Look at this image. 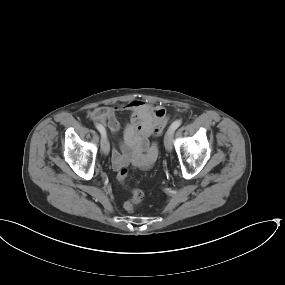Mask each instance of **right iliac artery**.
I'll return each mask as SVG.
<instances>
[{"label":"right iliac artery","mask_w":285,"mask_h":285,"mask_svg":"<svg viewBox=\"0 0 285 285\" xmlns=\"http://www.w3.org/2000/svg\"><path fill=\"white\" fill-rule=\"evenodd\" d=\"M96 128L101 133V135L106 134L105 128L102 125L96 124Z\"/></svg>","instance_id":"right-iliac-artery-1"}]
</instances>
